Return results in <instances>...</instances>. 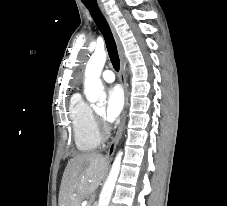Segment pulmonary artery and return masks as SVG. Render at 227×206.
I'll return each instance as SVG.
<instances>
[{"label":"pulmonary artery","mask_w":227,"mask_h":206,"mask_svg":"<svg viewBox=\"0 0 227 206\" xmlns=\"http://www.w3.org/2000/svg\"><path fill=\"white\" fill-rule=\"evenodd\" d=\"M102 79L107 83H112L115 80V75L111 70H105L102 73Z\"/></svg>","instance_id":"pulmonary-artery-1"}]
</instances>
